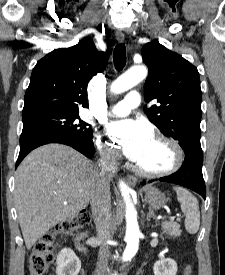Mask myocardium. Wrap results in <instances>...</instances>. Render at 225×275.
<instances>
[{"mask_svg":"<svg viewBox=\"0 0 225 275\" xmlns=\"http://www.w3.org/2000/svg\"><path fill=\"white\" fill-rule=\"evenodd\" d=\"M154 139L164 142L170 148L172 153L171 164L167 168L158 171L144 170L136 164L134 166L136 173L146 178H160L175 173L183 164L184 154L182 147L176 140L164 134H157Z\"/></svg>","mask_w":225,"mask_h":275,"instance_id":"f54148a6","label":"myocardium"}]
</instances>
